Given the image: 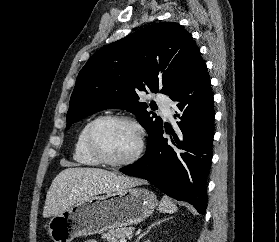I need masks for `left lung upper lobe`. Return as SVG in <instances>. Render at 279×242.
Listing matches in <instances>:
<instances>
[{
    "instance_id": "left-lung-upper-lobe-1",
    "label": "left lung upper lobe",
    "mask_w": 279,
    "mask_h": 242,
    "mask_svg": "<svg viewBox=\"0 0 279 242\" xmlns=\"http://www.w3.org/2000/svg\"><path fill=\"white\" fill-rule=\"evenodd\" d=\"M199 52L191 34L175 22H162L111 43L90 57L78 74L67 113L75 121L108 108L132 112L149 135L147 148L162 120L139 102L144 91L169 97L179 88ZM151 106V104H150Z\"/></svg>"
}]
</instances>
